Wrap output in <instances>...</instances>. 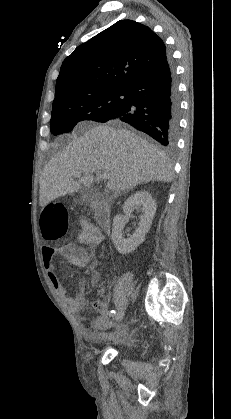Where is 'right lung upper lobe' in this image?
<instances>
[{"label": "right lung upper lobe", "mask_w": 231, "mask_h": 419, "mask_svg": "<svg viewBox=\"0 0 231 419\" xmlns=\"http://www.w3.org/2000/svg\"><path fill=\"white\" fill-rule=\"evenodd\" d=\"M168 58L150 28L121 20L78 46L62 63L53 103L102 89H123Z\"/></svg>", "instance_id": "1"}]
</instances>
